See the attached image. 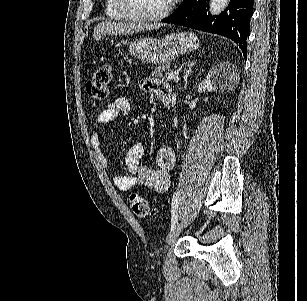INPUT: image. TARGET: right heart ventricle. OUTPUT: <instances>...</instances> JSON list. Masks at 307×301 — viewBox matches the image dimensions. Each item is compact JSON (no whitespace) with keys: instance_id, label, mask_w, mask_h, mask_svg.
<instances>
[{"instance_id":"obj_1","label":"right heart ventricle","mask_w":307,"mask_h":301,"mask_svg":"<svg viewBox=\"0 0 307 301\" xmlns=\"http://www.w3.org/2000/svg\"><path fill=\"white\" fill-rule=\"evenodd\" d=\"M109 7L106 10V17H123V10H112V5H114L113 0H108Z\"/></svg>"}]
</instances>
